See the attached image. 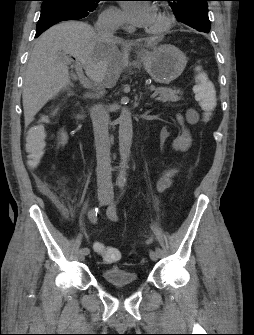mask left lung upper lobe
<instances>
[{
  "label": "left lung upper lobe",
  "mask_w": 254,
  "mask_h": 335,
  "mask_svg": "<svg viewBox=\"0 0 254 335\" xmlns=\"http://www.w3.org/2000/svg\"><path fill=\"white\" fill-rule=\"evenodd\" d=\"M179 21L202 32L210 31L208 4L210 0H166Z\"/></svg>",
  "instance_id": "5c2ea615"
}]
</instances>
